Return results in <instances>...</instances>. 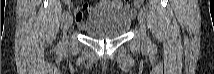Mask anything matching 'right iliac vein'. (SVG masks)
Masks as SVG:
<instances>
[{
    "instance_id": "obj_1",
    "label": "right iliac vein",
    "mask_w": 214,
    "mask_h": 74,
    "mask_svg": "<svg viewBox=\"0 0 214 74\" xmlns=\"http://www.w3.org/2000/svg\"><path fill=\"white\" fill-rule=\"evenodd\" d=\"M71 24H72V16L69 15V16H67V18L65 20V26H64L65 36H64V39L66 38V32H67V30H68V28L70 27Z\"/></svg>"
}]
</instances>
